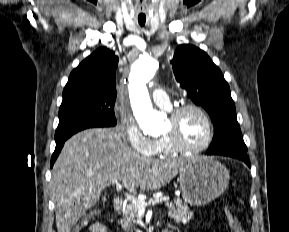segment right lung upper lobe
<instances>
[{
  "label": "right lung upper lobe",
  "mask_w": 289,
  "mask_h": 232,
  "mask_svg": "<svg viewBox=\"0 0 289 232\" xmlns=\"http://www.w3.org/2000/svg\"><path fill=\"white\" fill-rule=\"evenodd\" d=\"M118 57L101 47L83 60L70 74L63 90V102L79 97L104 96L115 98V71Z\"/></svg>",
  "instance_id": "obj_1"
}]
</instances>
